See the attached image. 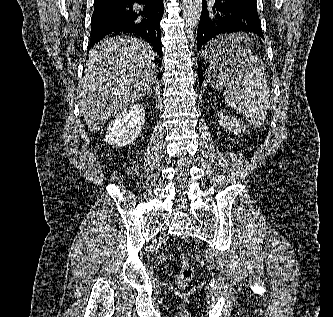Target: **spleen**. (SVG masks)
Segmentation results:
<instances>
[{
    "label": "spleen",
    "mask_w": 333,
    "mask_h": 317,
    "mask_svg": "<svg viewBox=\"0 0 333 317\" xmlns=\"http://www.w3.org/2000/svg\"><path fill=\"white\" fill-rule=\"evenodd\" d=\"M222 44L232 53L229 59L236 61L235 72L224 92L225 100L250 126L257 128L267 115L270 101L264 69L251 54V40L246 35H228Z\"/></svg>",
    "instance_id": "1"
}]
</instances>
